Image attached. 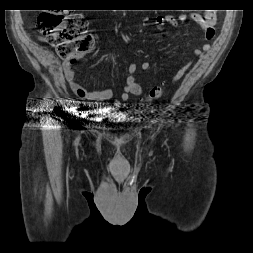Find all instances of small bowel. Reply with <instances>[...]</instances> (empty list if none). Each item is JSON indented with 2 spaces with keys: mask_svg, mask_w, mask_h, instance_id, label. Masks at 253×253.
Masks as SVG:
<instances>
[{
  "mask_svg": "<svg viewBox=\"0 0 253 253\" xmlns=\"http://www.w3.org/2000/svg\"><path fill=\"white\" fill-rule=\"evenodd\" d=\"M193 20L201 27L204 32L205 40L211 41L215 37V14L211 11H207L203 14L194 13L192 14ZM178 21L186 22L187 16L185 14H180L178 18L172 16L159 17L155 20L156 27L163 31L167 24H170L174 27L178 26ZM204 51H208L210 49V45L205 43L202 46ZM202 51L196 49L194 51L195 57H200ZM191 64H187L179 68L172 78L171 82H176L183 77L187 69ZM150 68V64L148 62H140V63H132L128 67V75L126 77L125 85L123 91L121 92L120 98L115 101V107H120L123 102L129 99L130 95L141 96L144 93V89L138 82L135 73L137 70L146 71ZM63 72L66 80L68 81L72 91L81 99L90 100V101H106L111 99L112 91L110 89H101V90H93L90 91L84 86H82L76 79L75 71L73 70L71 63L69 61H65L63 63Z\"/></svg>",
  "mask_w": 253,
  "mask_h": 253,
  "instance_id": "obj_1",
  "label": "small bowel"
}]
</instances>
